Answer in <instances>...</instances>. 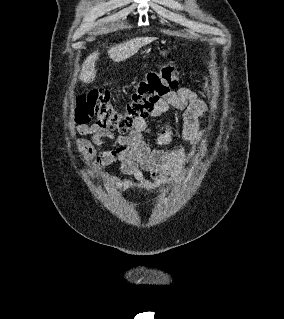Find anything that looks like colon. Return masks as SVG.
I'll return each instance as SVG.
<instances>
[{"label":"colon","mask_w":284,"mask_h":319,"mask_svg":"<svg viewBox=\"0 0 284 319\" xmlns=\"http://www.w3.org/2000/svg\"><path fill=\"white\" fill-rule=\"evenodd\" d=\"M181 83V71L164 63L158 69L148 72L135 85L121 110L115 107L106 90H93L79 97L74 110L75 121L81 125L95 119L96 124L102 128L128 133L137 122L146 120L157 102L177 89Z\"/></svg>","instance_id":"1"}]
</instances>
